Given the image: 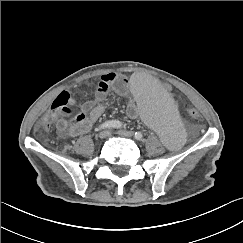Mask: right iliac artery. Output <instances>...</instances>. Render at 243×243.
<instances>
[{
    "label": "right iliac artery",
    "mask_w": 243,
    "mask_h": 243,
    "mask_svg": "<svg viewBox=\"0 0 243 243\" xmlns=\"http://www.w3.org/2000/svg\"><path fill=\"white\" fill-rule=\"evenodd\" d=\"M122 123L118 120H110L102 123L98 128H96L97 131H100L102 129H107V128H121Z\"/></svg>",
    "instance_id": "right-iliac-artery-1"
}]
</instances>
